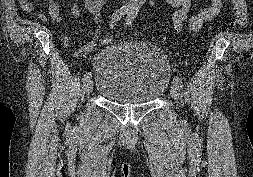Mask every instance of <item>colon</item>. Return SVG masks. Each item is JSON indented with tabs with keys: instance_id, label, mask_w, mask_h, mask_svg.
I'll list each match as a JSON object with an SVG mask.
<instances>
[{
	"instance_id": "obj_1",
	"label": "colon",
	"mask_w": 253,
	"mask_h": 177,
	"mask_svg": "<svg viewBox=\"0 0 253 177\" xmlns=\"http://www.w3.org/2000/svg\"><path fill=\"white\" fill-rule=\"evenodd\" d=\"M233 6L232 25L236 28H242L247 21V4L246 0H231ZM114 36L111 31H106L102 36V44L105 46L112 45Z\"/></svg>"
}]
</instances>
